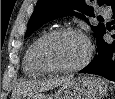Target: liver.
I'll list each match as a JSON object with an SVG mask.
<instances>
[{"mask_svg":"<svg viewBox=\"0 0 115 99\" xmlns=\"http://www.w3.org/2000/svg\"><path fill=\"white\" fill-rule=\"evenodd\" d=\"M74 75L61 76L59 78H51L48 80H35L20 84V94L27 96L33 93L42 92L56 88L69 80L73 79Z\"/></svg>","mask_w":115,"mask_h":99,"instance_id":"6515ba94","label":"liver"}]
</instances>
